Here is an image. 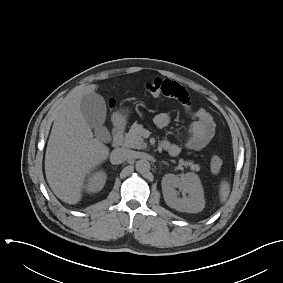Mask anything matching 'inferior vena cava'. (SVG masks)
I'll return each mask as SVG.
<instances>
[{"label":"inferior vena cava","instance_id":"inferior-vena-cava-1","mask_svg":"<svg viewBox=\"0 0 283 283\" xmlns=\"http://www.w3.org/2000/svg\"><path fill=\"white\" fill-rule=\"evenodd\" d=\"M134 152L125 148H118L111 152L110 161L112 164H121L133 157Z\"/></svg>","mask_w":283,"mask_h":283}]
</instances>
